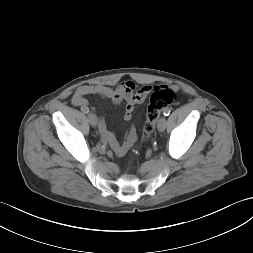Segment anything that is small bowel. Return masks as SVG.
<instances>
[{"label": "small bowel", "instance_id": "c3829d8e", "mask_svg": "<svg viewBox=\"0 0 253 253\" xmlns=\"http://www.w3.org/2000/svg\"><path fill=\"white\" fill-rule=\"evenodd\" d=\"M153 90L150 85H144L137 88L132 81H125L119 84L116 88L106 85H82L76 89L72 96V104L81 110L88 108V95H98L100 97L110 99L118 104L122 101L126 102L124 119L130 121L133 116V111L136 105L141 104L148 94ZM89 109V108H88ZM99 133L110 144L114 152L118 156H123L137 139V132L134 126H131L127 132L125 139L120 143L114 133L108 130L104 119L99 120Z\"/></svg>", "mask_w": 253, "mask_h": 253}]
</instances>
